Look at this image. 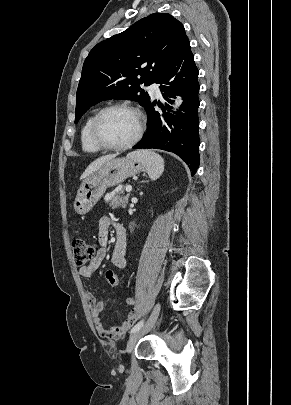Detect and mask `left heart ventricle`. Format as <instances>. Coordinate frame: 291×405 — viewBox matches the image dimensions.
I'll list each match as a JSON object with an SVG mask.
<instances>
[{
  "label": "left heart ventricle",
  "instance_id": "obj_1",
  "mask_svg": "<svg viewBox=\"0 0 291 405\" xmlns=\"http://www.w3.org/2000/svg\"><path fill=\"white\" fill-rule=\"evenodd\" d=\"M138 129L137 116L124 109L106 113L99 124L100 137L107 143L120 145L130 141Z\"/></svg>",
  "mask_w": 291,
  "mask_h": 405
}]
</instances>
